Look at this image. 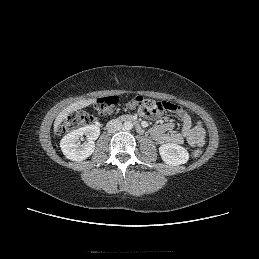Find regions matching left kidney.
Masks as SVG:
<instances>
[{
    "label": "left kidney",
    "mask_w": 259,
    "mask_h": 259,
    "mask_svg": "<svg viewBox=\"0 0 259 259\" xmlns=\"http://www.w3.org/2000/svg\"><path fill=\"white\" fill-rule=\"evenodd\" d=\"M162 160L170 166L185 164L189 159L188 151L177 144L166 143L159 147Z\"/></svg>",
    "instance_id": "5707ae66"
}]
</instances>
